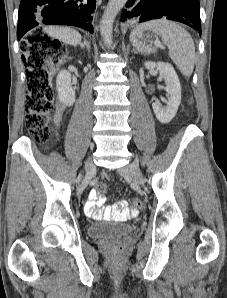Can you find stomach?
Returning <instances> with one entry per match:
<instances>
[{"instance_id": "0dacf381", "label": "stomach", "mask_w": 227, "mask_h": 298, "mask_svg": "<svg viewBox=\"0 0 227 298\" xmlns=\"http://www.w3.org/2000/svg\"><path fill=\"white\" fill-rule=\"evenodd\" d=\"M136 38L139 43H143L150 38V35L147 33H142V34L138 35Z\"/></svg>"}]
</instances>
